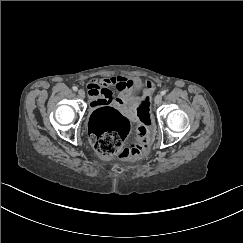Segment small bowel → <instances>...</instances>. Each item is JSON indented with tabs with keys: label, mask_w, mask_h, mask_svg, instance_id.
Returning <instances> with one entry per match:
<instances>
[{
	"label": "small bowel",
	"mask_w": 243,
	"mask_h": 243,
	"mask_svg": "<svg viewBox=\"0 0 243 243\" xmlns=\"http://www.w3.org/2000/svg\"><path fill=\"white\" fill-rule=\"evenodd\" d=\"M111 87H114L118 94L113 97ZM91 106L97 108L104 105H114L123 113L132 116V105L135 101V91L133 89V80L124 76H112L109 78L95 79L87 85ZM152 82H147L145 96L153 90Z\"/></svg>",
	"instance_id": "c3829d8e"
}]
</instances>
